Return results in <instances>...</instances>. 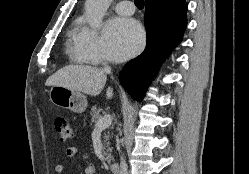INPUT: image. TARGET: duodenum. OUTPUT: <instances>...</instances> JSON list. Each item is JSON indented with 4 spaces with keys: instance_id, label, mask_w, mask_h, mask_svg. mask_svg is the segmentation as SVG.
Listing matches in <instances>:
<instances>
[{
    "instance_id": "obj_1",
    "label": "duodenum",
    "mask_w": 249,
    "mask_h": 174,
    "mask_svg": "<svg viewBox=\"0 0 249 174\" xmlns=\"http://www.w3.org/2000/svg\"><path fill=\"white\" fill-rule=\"evenodd\" d=\"M110 171L112 174H120V166L118 163H112L110 165Z\"/></svg>"
}]
</instances>
